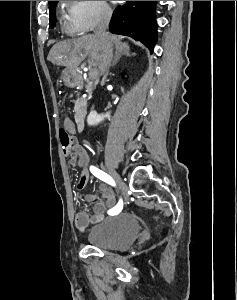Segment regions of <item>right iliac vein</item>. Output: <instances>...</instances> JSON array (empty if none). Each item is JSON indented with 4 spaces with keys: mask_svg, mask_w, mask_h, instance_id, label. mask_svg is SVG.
I'll return each instance as SVG.
<instances>
[{
    "mask_svg": "<svg viewBox=\"0 0 237 300\" xmlns=\"http://www.w3.org/2000/svg\"><path fill=\"white\" fill-rule=\"evenodd\" d=\"M111 175L113 176L115 184L117 185L118 189L124 193L126 188L124 187V183L121 177L118 175L117 172L113 170L111 171Z\"/></svg>",
    "mask_w": 237,
    "mask_h": 300,
    "instance_id": "obj_1",
    "label": "right iliac vein"
}]
</instances>
